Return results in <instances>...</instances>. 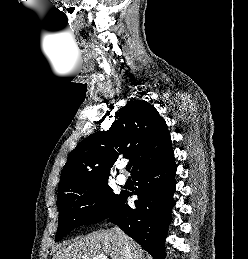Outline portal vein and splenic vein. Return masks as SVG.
<instances>
[{
  "label": "portal vein and splenic vein",
  "mask_w": 248,
  "mask_h": 259,
  "mask_svg": "<svg viewBox=\"0 0 248 259\" xmlns=\"http://www.w3.org/2000/svg\"><path fill=\"white\" fill-rule=\"evenodd\" d=\"M94 259H108V258L105 255H99V256L95 257Z\"/></svg>",
  "instance_id": "18ae733b"
}]
</instances>
